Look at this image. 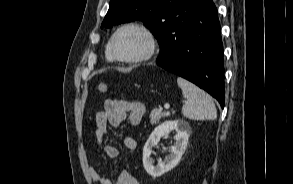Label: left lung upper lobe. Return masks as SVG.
I'll use <instances>...</instances> for the list:
<instances>
[{
  "instance_id": "5c2ea615",
  "label": "left lung upper lobe",
  "mask_w": 293,
  "mask_h": 184,
  "mask_svg": "<svg viewBox=\"0 0 293 184\" xmlns=\"http://www.w3.org/2000/svg\"><path fill=\"white\" fill-rule=\"evenodd\" d=\"M180 0H110L101 28H112L125 21L141 20L151 30L163 51L172 10Z\"/></svg>"
}]
</instances>
